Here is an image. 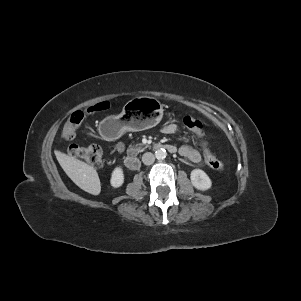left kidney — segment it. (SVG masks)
Returning <instances> with one entry per match:
<instances>
[{
	"label": "left kidney",
	"instance_id": "5707ae66",
	"mask_svg": "<svg viewBox=\"0 0 301 301\" xmlns=\"http://www.w3.org/2000/svg\"><path fill=\"white\" fill-rule=\"evenodd\" d=\"M190 179L193 186L201 191L208 190L212 185V182L208 175L201 169L192 170L190 174Z\"/></svg>",
	"mask_w": 301,
	"mask_h": 301
}]
</instances>
